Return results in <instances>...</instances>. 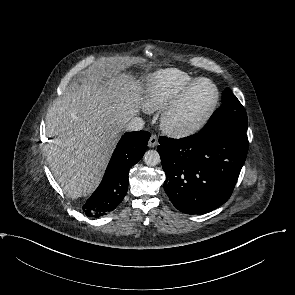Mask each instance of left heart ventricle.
<instances>
[{
  "mask_svg": "<svg viewBox=\"0 0 295 295\" xmlns=\"http://www.w3.org/2000/svg\"><path fill=\"white\" fill-rule=\"evenodd\" d=\"M214 97L215 91L210 83H199L180 109L177 115L178 122L189 125L201 119L210 108Z\"/></svg>",
  "mask_w": 295,
  "mask_h": 295,
  "instance_id": "left-heart-ventricle-1",
  "label": "left heart ventricle"
}]
</instances>
